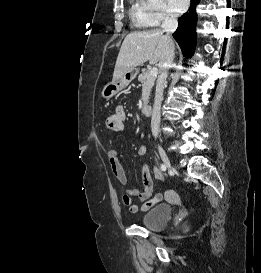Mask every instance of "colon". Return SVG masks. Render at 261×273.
I'll list each match as a JSON object with an SVG mask.
<instances>
[{
    "instance_id": "1",
    "label": "colon",
    "mask_w": 261,
    "mask_h": 273,
    "mask_svg": "<svg viewBox=\"0 0 261 273\" xmlns=\"http://www.w3.org/2000/svg\"><path fill=\"white\" fill-rule=\"evenodd\" d=\"M106 126L112 131H119L122 127L121 118L116 115H111L106 119ZM168 197L172 200H175L176 197L172 192H168Z\"/></svg>"
}]
</instances>
